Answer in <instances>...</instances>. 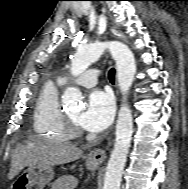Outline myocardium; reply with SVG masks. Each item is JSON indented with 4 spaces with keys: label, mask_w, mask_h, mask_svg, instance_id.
Returning <instances> with one entry per match:
<instances>
[{
    "label": "myocardium",
    "mask_w": 188,
    "mask_h": 189,
    "mask_svg": "<svg viewBox=\"0 0 188 189\" xmlns=\"http://www.w3.org/2000/svg\"><path fill=\"white\" fill-rule=\"evenodd\" d=\"M63 119L67 136L79 137L82 135V131L78 127L76 121H74L67 113H64Z\"/></svg>",
    "instance_id": "myocardium-1"
}]
</instances>
